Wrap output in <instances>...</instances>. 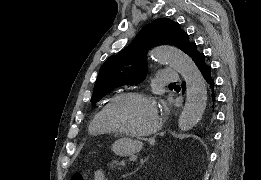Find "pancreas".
I'll use <instances>...</instances> for the list:
<instances>
[{
    "label": "pancreas",
    "mask_w": 261,
    "mask_h": 180,
    "mask_svg": "<svg viewBox=\"0 0 261 180\" xmlns=\"http://www.w3.org/2000/svg\"><path fill=\"white\" fill-rule=\"evenodd\" d=\"M141 150V148H140ZM118 160L117 159H110V162H107V167L109 170H117L118 166H117Z\"/></svg>",
    "instance_id": "obj_1"
}]
</instances>
